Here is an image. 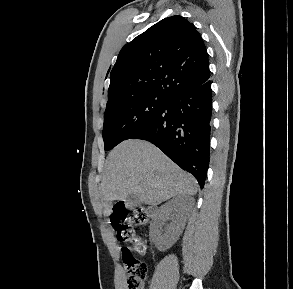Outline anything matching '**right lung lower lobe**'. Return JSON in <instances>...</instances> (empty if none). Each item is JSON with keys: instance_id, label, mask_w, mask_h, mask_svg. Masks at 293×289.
<instances>
[{"instance_id": "98d812e1", "label": "right lung lower lobe", "mask_w": 293, "mask_h": 289, "mask_svg": "<svg viewBox=\"0 0 293 289\" xmlns=\"http://www.w3.org/2000/svg\"><path fill=\"white\" fill-rule=\"evenodd\" d=\"M211 81L183 90L127 139L147 140L178 166L190 172L203 188L210 152Z\"/></svg>"}]
</instances>
